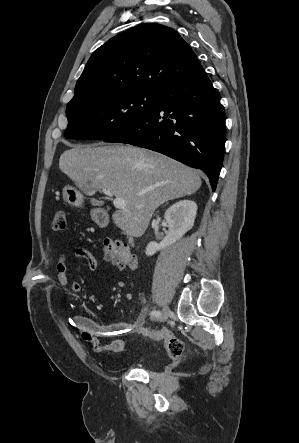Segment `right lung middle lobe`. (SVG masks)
Here are the masks:
<instances>
[{
    "label": "right lung middle lobe",
    "instance_id": "dd1d6c3e",
    "mask_svg": "<svg viewBox=\"0 0 299 443\" xmlns=\"http://www.w3.org/2000/svg\"><path fill=\"white\" fill-rule=\"evenodd\" d=\"M158 93L148 90L111 91L69 103L66 109L68 139H105L149 112Z\"/></svg>",
    "mask_w": 299,
    "mask_h": 443
}]
</instances>
